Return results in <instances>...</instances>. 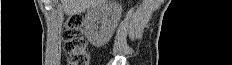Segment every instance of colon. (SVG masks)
Instances as JSON below:
<instances>
[{"label":"colon","instance_id":"colon-1","mask_svg":"<svg viewBox=\"0 0 232 65\" xmlns=\"http://www.w3.org/2000/svg\"><path fill=\"white\" fill-rule=\"evenodd\" d=\"M64 49L68 55V65H89L90 55L83 30V18L70 16L63 31Z\"/></svg>","mask_w":232,"mask_h":65}]
</instances>
